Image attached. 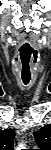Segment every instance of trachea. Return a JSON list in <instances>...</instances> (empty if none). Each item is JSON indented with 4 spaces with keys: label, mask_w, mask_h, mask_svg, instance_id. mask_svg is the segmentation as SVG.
<instances>
[{
    "label": "trachea",
    "mask_w": 51,
    "mask_h": 150,
    "mask_svg": "<svg viewBox=\"0 0 51 150\" xmlns=\"http://www.w3.org/2000/svg\"><path fill=\"white\" fill-rule=\"evenodd\" d=\"M22 80H23V83L25 85H27L29 83V81H30V78H23Z\"/></svg>",
    "instance_id": "1"
}]
</instances>
